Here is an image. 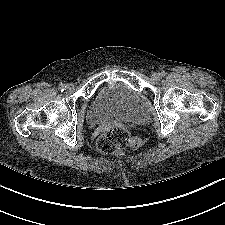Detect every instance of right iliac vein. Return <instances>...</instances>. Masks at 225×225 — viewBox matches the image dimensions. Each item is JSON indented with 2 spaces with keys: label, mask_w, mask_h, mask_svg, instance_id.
Wrapping results in <instances>:
<instances>
[{
  "label": "right iliac vein",
  "mask_w": 225,
  "mask_h": 225,
  "mask_svg": "<svg viewBox=\"0 0 225 225\" xmlns=\"http://www.w3.org/2000/svg\"><path fill=\"white\" fill-rule=\"evenodd\" d=\"M66 89H67V91L73 90V85L72 84H67L66 85Z\"/></svg>",
  "instance_id": "right-iliac-vein-1"
}]
</instances>
